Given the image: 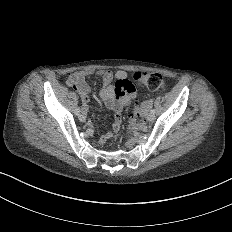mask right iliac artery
I'll return each mask as SVG.
<instances>
[{
    "mask_svg": "<svg viewBox=\"0 0 232 232\" xmlns=\"http://www.w3.org/2000/svg\"><path fill=\"white\" fill-rule=\"evenodd\" d=\"M75 115H79V113H80V106H78L76 109H75Z\"/></svg>",
    "mask_w": 232,
    "mask_h": 232,
    "instance_id": "right-iliac-artery-1",
    "label": "right iliac artery"
}]
</instances>
